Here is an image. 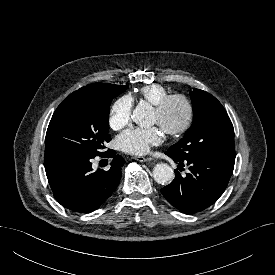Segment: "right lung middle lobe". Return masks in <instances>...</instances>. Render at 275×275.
<instances>
[{"label":"right lung middle lobe","mask_w":275,"mask_h":275,"mask_svg":"<svg viewBox=\"0 0 275 275\" xmlns=\"http://www.w3.org/2000/svg\"><path fill=\"white\" fill-rule=\"evenodd\" d=\"M127 88L128 86L115 85L64 99L49 123L45 138V156L102 155L104 143L111 139L107 133L110 102Z\"/></svg>","instance_id":"dd1d6c3e"}]
</instances>
